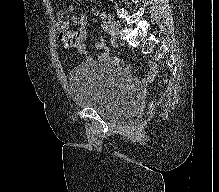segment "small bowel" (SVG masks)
<instances>
[{
	"mask_svg": "<svg viewBox=\"0 0 219 192\" xmlns=\"http://www.w3.org/2000/svg\"><path fill=\"white\" fill-rule=\"evenodd\" d=\"M70 23L74 26V29H69L68 27L66 29L59 28L62 36V41L64 43V47L68 50L75 49L87 61H92V57L89 56L85 45V40L87 36L86 33L87 15L84 13L79 15H73L70 18ZM69 41H71V44H69ZM95 46L100 52L98 61L101 63L109 62L110 58L108 57V47L104 38L98 37L95 41ZM124 67L126 70L131 69L130 65L125 64ZM157 72H158V65L155 62H150L148 71L144 77V81L145 82L153 81Z\"/></svg>",
	"mask_w": 219,
	"mask_h": 192,
	"instance_id": "small-bowel-1",
	"label": "small bowel"
}]
</instances>
